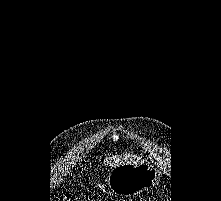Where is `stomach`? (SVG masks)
I'll return each instance as SVG.
<instances>
[{"mask_svg":"<svg viewBox=\"0 0 221 201\" xmlns=\"http://www.w3.org/2000/svg\"><path fill=\"white\" fill-rule=\"evenodd\" d=\"M161 171L149 162H128L112 168L108 176L109 189L115 195L130 196L155 186Z\"/></svg>","mask_w":221,"mask_h":201,"instance_id":"stomach-1","label":"stomach"}]
</instances>
